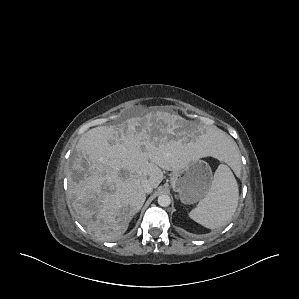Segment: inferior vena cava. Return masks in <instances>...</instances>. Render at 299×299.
<instances>
[{
    "label": "inferior vena cava",
    "instance_id": "obj_1",
    "mask_svg": "<svg viewBox=\"0 0 299 299\" xmlns=\"http://www.w3.org/2000/svg\"><path fill=\"white\" fill-rule=\"evenodd\" d=\"M142 188L145 193H151L153 189L151 184L147 180L142 181Z\"/></svg>",
    "mask_w": 299,
    "mask_h": 299
}]
</instances>
